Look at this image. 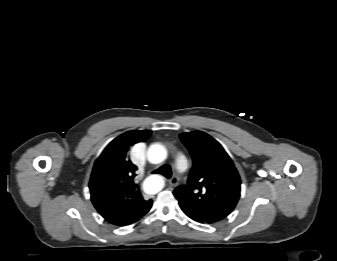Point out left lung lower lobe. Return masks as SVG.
I'll return each instance as SVG.
<instances>
[{
    "instance_id": "1",
    "label": "left lung lower lobe",
    "mask_w": 337,
    "mask_h": 261,
    "mask_svg": "<svg viewBox=\"0 0 337 261\" xmlns=\"http://www.w3.org/2000/svg\"><path fill=\"white\" fill-rule=\"evenodd\" d=\"M188 217H190L191 219H193L194 221H197L199 223H206V224H210V223H207L205 221H202L200 219H198L197 217L193 216L192 214L188 213V212H184Z\"/></svg>"
}]
</instances>
